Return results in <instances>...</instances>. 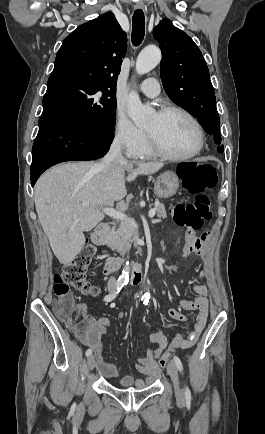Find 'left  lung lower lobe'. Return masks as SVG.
Masks as SVG:
<instances>
[{
	"instance_id": "left-lung-lower-lobe-1",
	"label": "left lung lower lobe",
	"mask_w": 265,
	"mask_h": 434,
	"mask_svg": "<svg viewBox=\"0 0 265 434\" xmlns=\"http://www.w3.org/2000/svg\"><path fill=\"white\" fill-rule=\"evenodd\" d=\"M217 151H218L219 153H222L224 150H223V148H222V149H217Z\"/></svg>"
}]
</instances>
